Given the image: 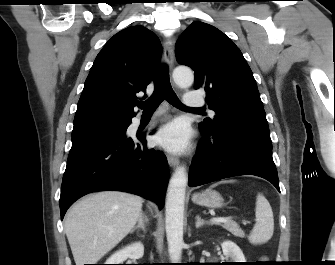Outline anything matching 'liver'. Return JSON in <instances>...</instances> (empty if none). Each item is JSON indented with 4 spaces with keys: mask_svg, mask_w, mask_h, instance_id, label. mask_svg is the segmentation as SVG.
<instances>
[{
    "mask_svg": "<svg viewBox=\"0 0 335 265\" xmlns=\"http://www.w3.org/2000/svg\"><path fill=\"white\" fill-rule=\"evenodd\" d=\"M141 197L118 191L90 194L67 212L64 229L76 265L96 264L134 228Z\"/></svg>",
    "mask_w": 335,
    "mask_h": 265,
    "instance_id": "liver-1",
    "label": "liver"
}]
</instances>
